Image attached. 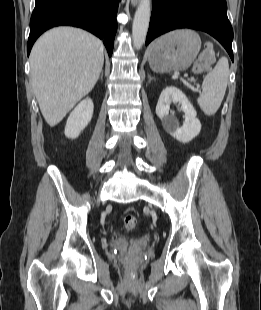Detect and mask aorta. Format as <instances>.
<instances>
[{"label":"aorta","mask_w":261,"mask_h":310,"mask_svg":"<svg viewBox=\"0 0 261 310\" xmlns=\"http://www.w3.org/2000/svg\"><path fill=\"white\" fill-rule=\"evenodd\" d=\"M151 15V0H140L139 6L135 12L132 39L135 49L142 48L148 32Z\"/></svg>","instance_id":"762f6f07"}]
</instances>
